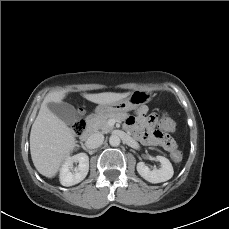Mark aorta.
Returning a JSON list of instances; mask_svg holds the SVG:
<instances>
[{
	"label": "aorta",
	"mask_w": 229,
	"mask_h": 229,
	"mask_svg": "<svg viewBox=\"0 0 229 229\" xmlns=\"http://www.w3.org/2000/svg\"><path fill=\"white\" fill-rule=\"evenodd\" d=\"M120 138L117 135H111L109 138V143L111 146L116 147L120 145Z\"/></svg>",
	"instance_id": "obj_1"
}]
</instances>
